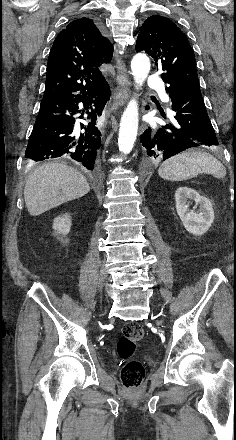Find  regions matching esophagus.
Here are the masks:
<instances>
[{
  "mask_svg": "<svg viewBox=\"0 0 236 440\" xmlns=\"http://www.w3.org/2000/svg\"><path fill=\"white\" fill-rule=\"evenodd\" d=\"M116 69H117V88L115 93V100L113 104V110H117L120 106H123L130 94L131 82L128 77V71L123 57L116 54Z\"/></svg>",
  "mask_w": 236,
  "mask_h": 440,
  "instance_id": "1",
  "label": "esophagus"
}]
</instances>
